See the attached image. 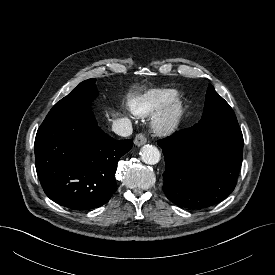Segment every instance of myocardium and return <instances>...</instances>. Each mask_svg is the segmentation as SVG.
I'll use <instances>...</instances> for the list:
<instances>
[{"mask_svg": "<svg viewBox=\"0 0 275 275\" xmlns=\"http://www.w3.org/2000/svg\"><path fill=\"white\" fill-rule=\"evenodd\" d=\"M186 114V105L177 101L158 113L153 121V129L159 134H168L180 127Z\"/></svg>", "mask_w": 275, "mask_h": 275, "instance_id": "f54148a6", "label": "myocardium"}]
</instances>
